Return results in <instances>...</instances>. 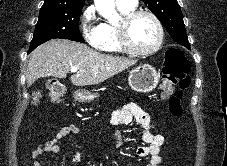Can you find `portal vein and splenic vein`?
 <instances>
[{
    "instance_id": "obj_1",
    "label": "portal vein and splenic vein",
    "mask_w": 227,
    "mask_h": 166,
    "mask_svg": "<svg viewBox=\"0 0 227 166\" xmlns=\"http://www.w3.org/2000/svg\"><path fill=\"white\" fill-rule=\"evenodd\" d=\"M78 71V68L77 67H73L72 69H71V72H77Z\"/></svg>"
}]
</instances>
